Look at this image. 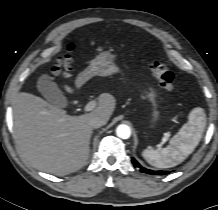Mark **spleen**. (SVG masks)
I'll return each instance as SVG.
<instances>
[{
  "label": "spleen",
  "mask_w": 218,
  "mask_h": 210,
  "mask_svg": "<svg viewBox=\"0 0 218 210\" xmlns=\"http://www.w3.org/2000/svg\"><path fill=\"white\" fill-rule=\"evenodd\" d=\"M206 126V117L202 108H194L178 133L170 140V144L162 149L144 150L142 156L152 166L171 168L182 163L199 144Z\"/></svg>",
  "instance_id": "obj_1"
}]
</instances>
